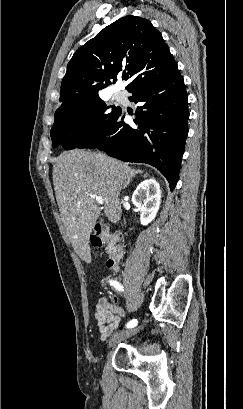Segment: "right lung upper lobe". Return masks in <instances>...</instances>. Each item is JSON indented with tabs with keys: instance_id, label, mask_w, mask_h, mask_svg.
<instances>
[{
	"instance_id": "cb5924a9",
	"label": "right lung upper lobe",
	"mask_w": 243,
	"mask_h": 409,
	"mask_svg": "<svg viewBox=\"0 0 243 409\" xmlns=\"http://www.w3.org/2000/svg\"><path fill=\"white\" fill-rule=\"evenodd\" d=\"M175 68L167 44L149 20L122 17L75 52L61 83V107L99 97V90L117 76L130 81L128 91Z\"/></svg>"
}]
</instances>
